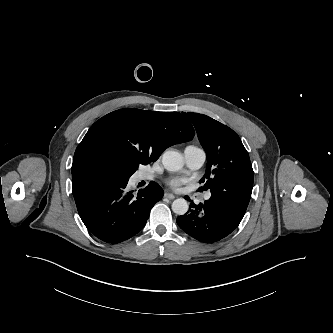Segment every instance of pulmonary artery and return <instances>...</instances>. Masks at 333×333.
<instances>
[{
	"label": "pulmonary artery",
	"instance_id": "obj_1",
	"mask_svg": "<svg viewBox=\"0 0 333 333\" xmlns=\"http://www.w3.org/2000/svg\"><path fill=\"white\" fill-rule=\"evenodd\" d=\"M184 158L186 161L187 166L192 169L196 170L199 169L206 160L205 151L196 146H188L184 149ZM153 179V176L147 173H139L137 175L138 181H150ZM211 196L210 193L205 195L206 199H209Z\"/></svg>",
	"mask_w": 333,
	"mask_h": 333
}]
</instances>
